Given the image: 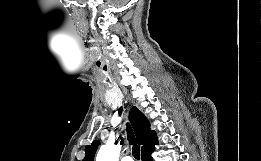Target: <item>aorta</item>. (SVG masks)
<instances>
[{"label":"aorta","instance_id":"aorta-1","mask_svg":"<svg viewBox=\"0 0 261 161\" xmlns=\"http://www.w3.org/2000/svg\"><path fill=\"white\" fill-rule=\"evenodd\" d=\"M121 147L111 143L101 146L96 161H118Z\"/></svg>","mask_w":261,"mask_h":161}]
</instances>
